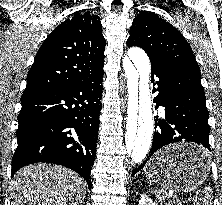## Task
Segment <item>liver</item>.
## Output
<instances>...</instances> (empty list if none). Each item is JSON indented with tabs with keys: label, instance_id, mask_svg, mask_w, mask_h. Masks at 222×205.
I'll return each instance as SVG.
<instances>
[{
	"label": "liver",
	"instance_id": "obj_1",
	"mask_svg": "<svg viewBox=\"0 0 222 205\" xmlns=\"http://www.w3.org/2000/svg\"><path fill=\"white\" fill-rule=\"evenodd\" d=\"M11 192V205H81L86 183L68 168L36 163L14 175Z\"/></svg>",
	"mask_w": 222,
	"mask_h": 205
}]
</instances>
